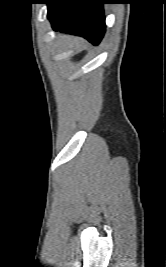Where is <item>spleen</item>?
Instances as JSON below:
<instances>
[{
  "instance_id": "1",
  "label": "spleen",
  "mask_w": 166,
  "mask_h": 267,
  "mask_svg": "<svg viewBox=\"0 0 166 267\" xmlns=\"http://www.w3.org/2000/svg\"><path fill=\"white\" fill-rule=\"evenodd\" d=\"M76 46V49H81L83 47V41L75 40L69 44L70 47Z\"/></svg>"
}]
</instances>
